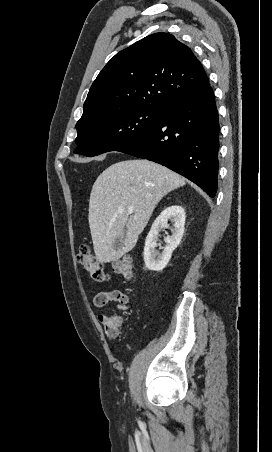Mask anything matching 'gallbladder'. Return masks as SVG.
Masks as SVG:
<instances>
[{
    "label": "gallbladder",
    "mask_w": 272,
    "mask_h": 452,
    "mask_svg": "<svg viewBox=\"0 0 272 452\" xmlns=\"http://www.w3.org/2000/svg\"><path fill=\"white\" fill-rule=\"evenodd\" d=\"M124 239V235H123V238H122V240ZM122 240L120 239V238H117V240H116V247H121L122 246Z\"/></svg>",
    "instance_id": "bac80fb5"
}]
</instances>
